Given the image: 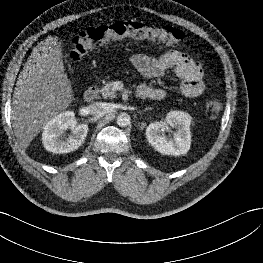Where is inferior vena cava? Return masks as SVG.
Listing matches in <instances>:
<instances>
[{
  "instance_id": "inferior-vena-cava-1",
  "label": "inferior vena cava",
  "mask_w": 263,
  "mask_h": 263,
  "mask_svg": "<svg viewBox=\"0 0 263 263\" xmlns=\"http://www.w3.org/2000/svg\"><path fill=\"white\" fill-rule=\"evenodd\" d=\"M88 109L91 115H98L105 111L106 104L103 102H94L89 105Z\"/></svg>"
}]
</instances>
